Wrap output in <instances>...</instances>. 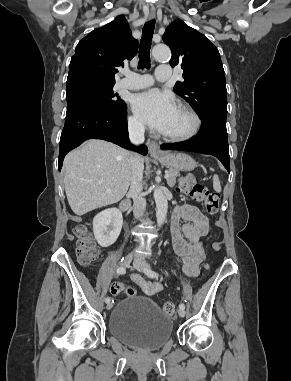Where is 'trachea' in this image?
I'll list each match as a JSON object with an SVG mask.
<instances>
[{"mask_svg":"<svg viewBox=\"0 0 291 381\" xmlns=\"http://www.w3.org/2000/svg\"><path fill=\"white\" fill-rule=\"evenodd\" d=\"M155 28V20H151L145 23L142 31V38L140 40L139 45V62H138V68L149 69L150 64V47H151V41L152 36L154 33Z\"/></svg>","mask_w":291,"mask_h":381,"instance_id":"3493384b","label":"trachea"}]
</instances>
